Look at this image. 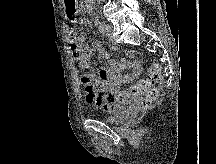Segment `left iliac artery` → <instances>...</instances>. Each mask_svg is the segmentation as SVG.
I'll return each mask as SVG.
<instances>
[{"instance_id": "44dca946", "label": "left iliac artery", "mask_w": 216, "mask_h": 164, "mask_svg": "<svg viewBox=\"0 0 216 164\" xmlns=\"http://www.w3.org/2000/svg\"><path fill=\"white\" fill-rule=\"evenodd\" d=\"M98 25H99V30L102 33H105L107 31V25L105 24V22L103 21H98Z\"/></svg>"}]
</instances>
